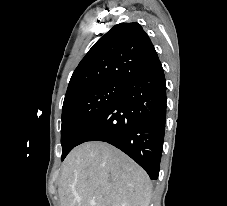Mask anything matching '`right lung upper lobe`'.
<instances>
[{
    "instance_id": "right-lung-upper-lobe-1",
    "label": "right lung upper lobe",
    "mask_w": 227,
    "mask_h": 206,
    "mask_svg": "<svg viewBox=\"0 0 227 206\" xmlns=\"http://www.w3.org/2000/svg\"><path fill=\"white\" fill-rule=\"evenodd\" d=\"M158 61L155 48L140 24H117L81 60L72 74L65 97L106 81L125 82Z\"/></svg>"
}]
</instances>
